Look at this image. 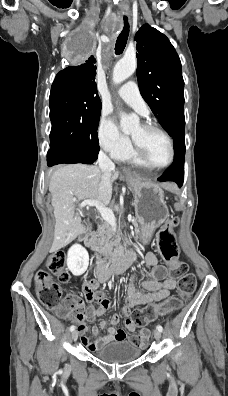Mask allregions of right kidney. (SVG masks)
<instances>
[{
  "label": "right kidney",
  "mask_w": 228,
  "mask_h": 396,
  "mask_svg": "<svg viewBox=\"0 0 228 396\" xmlns=\"http://www.w3.org/2000/svg\"><path fill=\"white\" fill-rule=\"evenodd\" d=\"M89 255L80 244H74L67 253V267L74 276L82 275L88 268Z\"/></svg>",
  "instance_id": "ca27d5eb"
}]
</instances>
